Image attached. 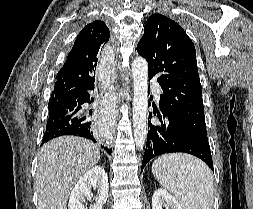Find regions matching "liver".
Segmentation results:
<instances>
[{
  "label": "liver",
  "instance_id": "1",
  "mask_svg": "<svg viewBox=\"0 0 253 209\" xmlns=\"http://www.w3.org/2000/svg\"><path fill=\"white\" fill-rule=\"evenodd\" d=\"M99 159L98 146L81 137L61 136L44 144L36 172L38 209H67L73 186Z\"/></svg>",
  "mask_w": 253,
  "mask_h": 209
}]
</instances>
